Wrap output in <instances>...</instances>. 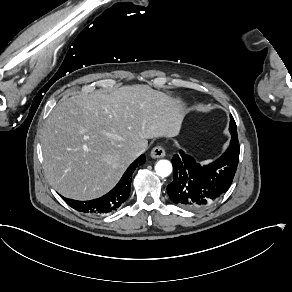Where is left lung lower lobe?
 I'll return each mask as SVG.
<instances>
[{
    "label": "left lung lower lobe",
    "mask_w": 292,
    "mask_h": 292,
    "mask_svg": "<svg viewBox=\"0 0 292 292\" xmlns=\"http://www.w3.org/2000/svg\"><path fill=\"white\" fill-rule=\"evenodd\" d=\"M239 153V143L230 144L220 158L201 166L180 150L172 159L173 181L167 186L170 199L190 210L212 205L229 189L238 166Z\"/></svg>",
    "instance_id": "1"
}]
</instances>
